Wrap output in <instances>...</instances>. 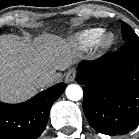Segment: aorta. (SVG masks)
I'll list each match as a JSON object with an SVG mask.
<instances>
[{
  "mask_svg": "<svg viewBox=\"0 0 139 139\" xmlns=\"http://www.w3.org/2000/svg\"><path fill=\"white\" fill-rule=\"evenodd\" d=\"M65 92L67 98L71 101H79L83 97V90L77 84L68 85Z\"/></svg>",
  "mask_w": 139,
  "mask_h": 139,
  "instance_id": "obj_1",
  "label": "aorta"
}]
</instances>
